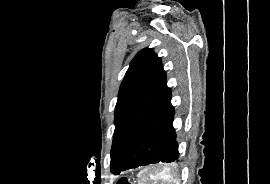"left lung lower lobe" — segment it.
Segmentation results:
<instances>
[{"label": "left lung lower lobe", "mask_w": 270, "mask_h": 184, "mask_svg": "<svg viewBox=\"0 0 270 184\" xmlns=\"http://www.w3.org/2000/svg\"><path fill=\"white\" fill-rule=\"evenodd\" d=\"M174 114L170 90L157 112L130 148L121 167L113 173L119 175L121 171L139 166L178 161V144L172 124Z\"/></svg>", "instance_id": "1"}]
</instances>
